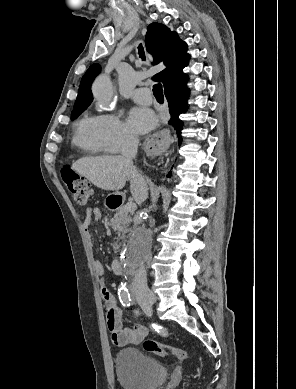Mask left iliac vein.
Here are the masks:
<instances>
[{
  "label": "left iliac vein",
  "mask_w": 296,
  "mask_h": 389,
  "mask_svg": "<svg viewBox=\"0 0 296 389\" xmlns=\"http://www.w3.org/2000/svg\"><path fill=\"white\" fill-rule=\"evenodd\" d=\"M140 305H141V308L143 309V311H144L147 315H151V312H152V305H151L150 303H143V302H141Z\"/></svg>",
  "instance_id": "obj_1"
}]
</instances>
